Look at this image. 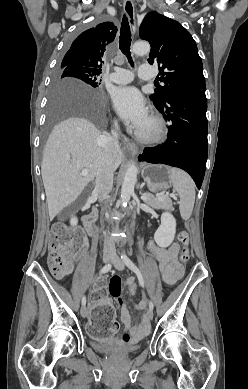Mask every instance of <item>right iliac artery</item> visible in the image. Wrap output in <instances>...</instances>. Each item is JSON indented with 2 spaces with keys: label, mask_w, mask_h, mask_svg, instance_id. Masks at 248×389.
<instances>
[{
  "label": "right iliac artery",
  "mask_w": 248,
  "mask_h": 389,
  "mask_svg": "<svg viewBox=\"0 0 248 389\" xmlns=\"http://www.w3.org/2000/svg\"><path fill=\"white\" fill-rule=\"evenodd\" d=\"M111 267H112L111 264L105 265V266L100 270V273H106V272H108V271L111 269ZM82 305H83V306L86 305V297H85V296L82 298Z\"/></svg>",
  "instance_id": "82829eb1"
}]
</instances>
